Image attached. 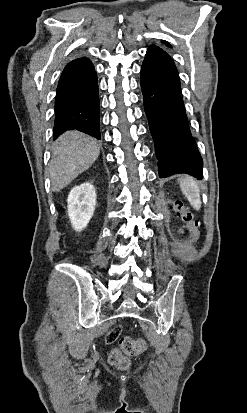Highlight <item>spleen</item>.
Segmentation results:
<instances>
[{
    "instance_id": "obj_1",
    "label": "spleen",
    "mask_w": 247,
    "mask_h": 413,
    "mask_svg": "<svg viewBox=\"0 0 247 413\" xmlns=\"http://www.w3.org/2000/svg\"><path fill=\"white\" fill-rule=\"evenodd\" d=\"M180 188L183 194L187 196L192 207H194L196 211H199V209H201V198L196 180H194L192 176H184V178H181L180 180Z\"/></svg>"
}]
</instances>
